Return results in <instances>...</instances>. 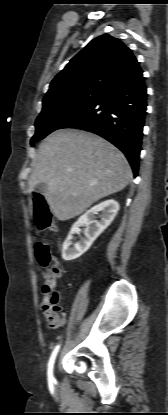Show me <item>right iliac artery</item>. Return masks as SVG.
Listing matches in <instances>:
<instances>
[{
    "label": "right iliac artery",
    "instance_id": "82829eb1",
    "mask_svg": "<svg viewBox=\"0 0 168 415\" xmlns=\"http://www.w3.org/2000/svg\"><path fill=\"white\" fill-rule=\"evenodd\" d=\"M59 348H60V345H57L55 347V349L53 350V352L51 354L49 363H48V371H47V374H48V380L49 381H53L54 380V377H53V367H54L55 358H56V355L58 353Z\"/></svg>",
    "mask_w": 168,
    "mask_h": 415
}]
</instances>
